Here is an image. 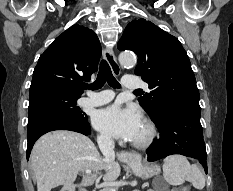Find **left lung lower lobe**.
I'll use <instances>...</instances> for the list:
<instances>
[{
    "label": "left lung lower lobe",
    "mask_w": 233,
    "mask_h": 191,
    "mask_svg": "<svg viewBox=\"0 0 233 191\" xmlns=\"http://www.w3.org/2000/svg\"><path fill=\"white\" fill-rule=\"evenodd\" d=\"M154 122L160 136L147 150L148 161L181 154L199 160L207 173L200 111L183 107L165 108L158 112V118Z\"/></svg>",
    "instance_id": "obj_1"
}]
</instances>
